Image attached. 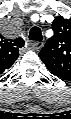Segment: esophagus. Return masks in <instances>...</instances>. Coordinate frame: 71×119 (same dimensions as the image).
<instances>
[{"label":"esophagus","instance_id":"1","mask_svg":"<svg viewBox=\"0 0 71 119\" xmlns=\"http://www.w3.org/2000/svg\"><path fill=\"white\" fill-rule=\"evenodd\" d=\"M44 43L40 41H36L31 43V48L35 51H39L43 47Z\"/></svg>","mask_w":71,"mask_h":119}]
</instances>
